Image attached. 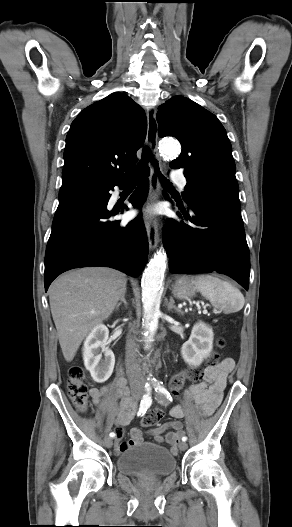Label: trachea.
<instances>
[{"instance_id": "3493384b", "label": "trachea", "mask_w": 292, "mask_h": 527, "mask_svg": "<svg viewBox=\"0 0 292 527\" xmlns=\"http://www.w3.org/2000/svg\"><path fill=\"white\" fill-rule=\"evenodd\" d=\"M149 159L151 161H153L154 164L157 165V162L152 159V154H151V151L149 150V148H145L144 152H143V155H142V161L143 162H147V161H149ZM161 179L163 180V182H166V179L162 175H161Z\"/></svg>"}]
</instances>
